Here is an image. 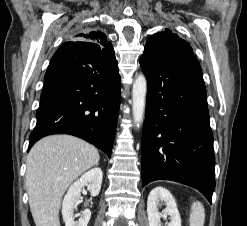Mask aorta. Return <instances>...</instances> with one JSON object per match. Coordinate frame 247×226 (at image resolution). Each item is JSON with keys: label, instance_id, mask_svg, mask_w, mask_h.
Returning <instances> with one entry per match:
<instances>
[{"label": "aorta", "instance_id": "aorta-1", "mask_svg": "<svg viewBox=\"0 0 247 226\" xmlns=\"http://www.w3.org/2000/svg\"><path fill=\"white\" fill-rule=\"evenodd\" d=\"M146 94L147 80L143 74H140L136 76L132 88V113L134 123L137 127H139L143 121L146 106Z\"/></svg>", "mask_w": 247, "mask_h": 226}]
</instances>
